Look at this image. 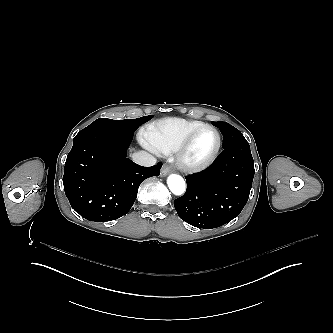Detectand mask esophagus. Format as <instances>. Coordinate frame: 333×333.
Masks as SVG:
<instances>
[{
  "mask_svg": "<svg viewBox=\"0 0 333 333\" xmlns=\"http://www.w3.org/2000/svg\"><path fill=\"white\" fill-rule=\"evenodd\" d=\"M171 170H172L171 167L165 164L161 169L160 176L165 177L171 172Z\"/></svg>",
  "mask_w": 333,
  "mask_h": 333,
  "instance_id": "esophagus-1",
  "label": "esophagus"
}]
</instances>
